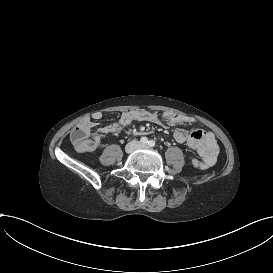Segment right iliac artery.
Instances as JSON below:
<instances>
[{
    "mask_svg": "<svg viewBox=\"0 0 273 273\" xmlns=\"http://www.w3.org/2000/svg\"><path fill=\"white\" fill-rule=\"evenodd\" d=\"M140 142H141L142 144H146V143H148V139H147L146 137H142V138L140 139Z\"/></svg>",
    "mask_w": 273,
    "mask_h": 273,
    "instance_id": "1",
    "label": "right iliac artery"
}]
</instances>
